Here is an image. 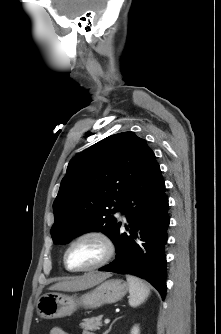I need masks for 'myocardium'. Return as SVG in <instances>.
Instances as JSON below:
<instances>
[{"label":"myocardium","mask_w":221,"mask_h":334,"mask_svg":"<svg viewBox=\"0 0 221 334\" xmlns=\"http://www.w3.org/2000/svg\"><path fill=\"white\" fill-rule=\"evenodd\" d=\"M88 238H93L98 241H100L104 247V255L103 257L95 264L88 266V267H83V268H74L71 267L68 263V254L71 250V248L78 243L81 240L88 239ZM115 253V244L112 238L104 231L102 230H86L84 232H81L77 236H75L67 245L64 254H63V262L67 270L72 271V272H88V271H93L96 269H99L103 266H105L114 256Z\"/></svg>","instance_id":"f54148a6"}]
</instances>
